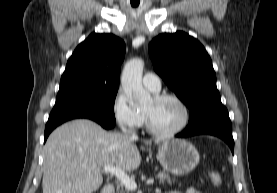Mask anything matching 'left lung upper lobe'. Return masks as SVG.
<instances>
[{"label": "left lung upper lobe", "instance_id": "5c2ea615", "mask_svg": "<svg viewBox=\"0 0 277 193\" xmlns=\"http://www.w3.org/2000/svg\"><path fill=\"white\" fill-rule=\"evenodd\" d=\"M148 49L155 71L189 108V123L224 107L212 61L198 40L182 31L163 33Z\"/></svg>", "mask_w": 277, "mask_h": 193}]
</instances>
